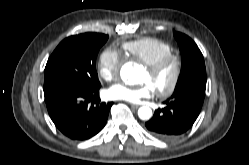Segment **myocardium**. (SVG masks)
<instances>
[{"label": "myocardium", "mask_w": 249, "mask_h": 165, "mask_svg": "<svg viewBox=\"0 0 249 165\" xmlns=\"http://www.w3.org/2000/svg\"><path fill=\"white\" fill-rule=\"evenodd\" d=\"M181 67L180 56L173 52L160 57L150 64H145V69L153 78L158 77L166 69H169V75L165 83L154 88L159 96H167L174 91L181 73Z\"/></svg>", "instance_id": "1"}]
</instances>
